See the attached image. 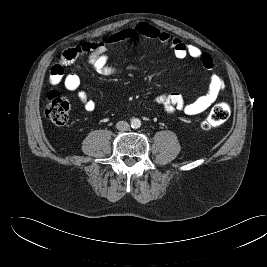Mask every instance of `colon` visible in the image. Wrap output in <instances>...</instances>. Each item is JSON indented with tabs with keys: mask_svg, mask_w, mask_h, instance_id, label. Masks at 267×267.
<instances>
[{
	"mask_svg": "<svg viewBox=\"0 0 267 267\" xmlns=\"http://www.w3.org/2000/svg\"><path fill=\"white\" fill-rule=\"evenodd\" d=\"M45 117L57 126H63L69 119V103L58 92L51 91L48 94L47 103L44 107ZM230 116V106L221 102L216 104L202 123L205 130L218 127L225 123Z\"/></svg>",
	"mask_w": 267,
	"mask_h": 267,
	"instance_id": "obj_1",
	"label": "colon"
}]
</instances>
